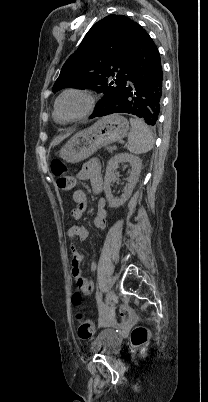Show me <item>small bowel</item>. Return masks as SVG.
Segmentation results:
<instances>
[{
  "label": "small bowel",
  "mask_w": 208,
  "mask_h": 402,
  "mask_svg": "<svg viewBox=\"0 0 208 402\" xmlns=\"http://www.w3.org/2000/svg\"><path fill=\"white\" fill-rule=\"evenodd\" d=\"M77 179L80 181H89L92 190L95 193H100L103 189L102 168L98 160L92 159L84 164L82 169L77 173ZM73 200L76 203V208L72 211L71 216L74 220H79L87 209V196L84 190L78 189L73 193ZM107 210L104 199H99L97 202V214L94 219V226L97 229H104L107 225ZM88 237L87 230L82 226H73L68 231V239L71 242L76 240H85ZM72 275L77 284L86 293H91L94 290L92 281L86 279L81 271V254L77 249L71 251ZM92 269H96V265L92 264Z\"/></svg>",
  "instance_id": "c3829d8e"
}]
</instances>
